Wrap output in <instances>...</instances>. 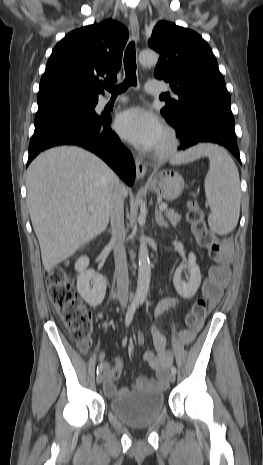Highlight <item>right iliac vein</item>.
I'll use <instances>...</instances> for the list:
<instances>
[{
  "mask_svg": "<svg viewBox=\"0 0 263 465\" xmlns=\"http://www.w3.org/2000/svg\"><path fill=\"white\" fill-rule=\"evenodd\" d=\"M103 374L102 373H99L96 377V382L98 385H100L102 382H103Z\"/></svg>",
  "mask_w": 263,
  "mask_h": 465,
  "instance_id": "obj_1",
  "label": "right iliac vein"
}]
</instances>
